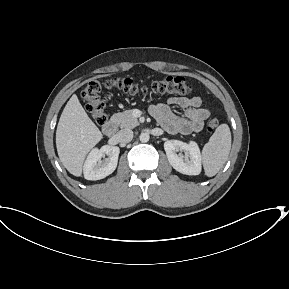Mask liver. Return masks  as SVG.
<instances>
[{"mask_svg": "<svg viewBox=\"0 0 289 289\" xmlns=\"http://www.w3.org/2000/svg\"><path fill=\"white\" fill-rule=\"evenodd\" d=\"M102 137L78 97L72 95L60 116L56 130V147L63 166L72 175L81 176L86 155Z\"/></svg>", "mask_w": 289, "mask_h": 289, "instance_id": "6515ba94", "label": "liver"}]
</instances>
